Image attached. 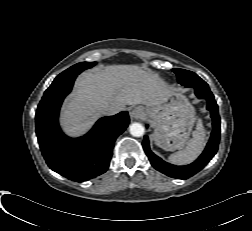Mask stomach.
<instances>
[{
	"instance_id": "0dacf381",
	"label": "stomach",
	"mask_w": 252,
	"mask_h": 231,
	"mask_svg": "<svg viewBox=\"0 0 252 231\" xmlns=\"http://www.w3.org/2000/svg\"><path fill=\"white\" fill-rule=\"evenodd\" d=\"M143 117L154 127L155 143L164 150L174 151L188 140L195 110L183 95L177 94L159 107L143 108Z\"/></svg>"
}]
</instances>
